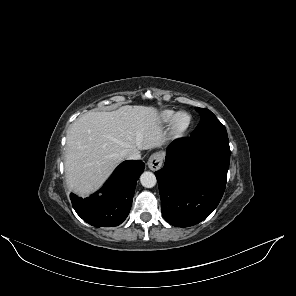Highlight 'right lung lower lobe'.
Returning a JSON list of instances; mask_svg holds the SVG:
<instances>
[{
  "label": "right lung lower lobe",
  "mask_w": 296,
  "mask_h": 296,
  "mask_svg": "<svg viewBox=\"0 0 296 296\" xmlns=\"http://www.w3.org/2000/svg\"><path fill=\"white\" fill-rule=\"evenodd\" d=\"M144 167L142 161L123 162L100 191L85 199L70 194L73 208L90 225L118 226L129 214L136 182Z\"/></svg>",
  "instance_id": "right-lung-lower-lobe-1"
}]
</instances>
